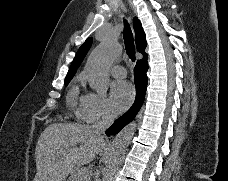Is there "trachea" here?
I'll list each match as a JSON object with an SVG mask.
<instances>
[{"mask_svg": "<svg viewBox=\"0 0 228 181\" xmlns=\"http://www.w3.org/2000/svg\"><path fill=\"white\" fill-rule=\"evenodd\" d=\"M123 38H124V45H125L126 53H127L128 57L130 58V60H132L134 62L136 59L135 46H134L132 30H131L130 25L127 22V20H124Z\"/></svg>", "mask_w": 228, "mask_h": 181, "instance_id": "1", "label": "trachea"}]
</instances>
